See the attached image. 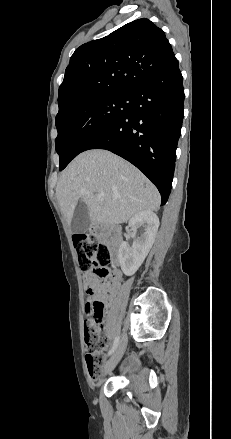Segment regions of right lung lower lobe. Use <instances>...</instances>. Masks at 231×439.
<instances>
[{
	"mask_svg": "<svg viewBox=\"0 0 231 439\" xmlns=\"http://www.w3.org/2000/svg\"><path fill=\"white\" fill-rule=\"evenodd\" d=\"M183 77L175 60L131 95V107L82 149H106L135 165L158 188L162 205L171 192L184 116Z\"/></svg>",
	"mask_w": 231,
	"mask_h": 439,
	"instance_id": "right-lung-lower-lobe-1",
	"label": "right lung lower lobe"
}]
</instances>
